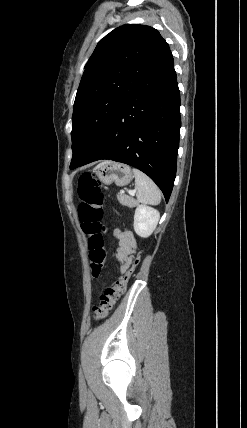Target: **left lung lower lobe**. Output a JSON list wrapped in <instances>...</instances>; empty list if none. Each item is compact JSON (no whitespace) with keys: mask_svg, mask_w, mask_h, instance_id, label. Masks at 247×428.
<instances>
[{"mask_svg":"<svg viewBox=\"0 0 247 428\" xmlns=\"http://www.w3.org/2000/svg\"><path fill=\"white\" fill-rule=\"evenodd\" d=\"M179 108L172 57L147 84L123 100L86 159L71 169L100 159L126 163L147 174L168 202L176 176Z\"/></svg>","mask_w":247,"mask_h":428,"instance_id":"obj_1","label":"left lung lower lobe"}]
</instances>
